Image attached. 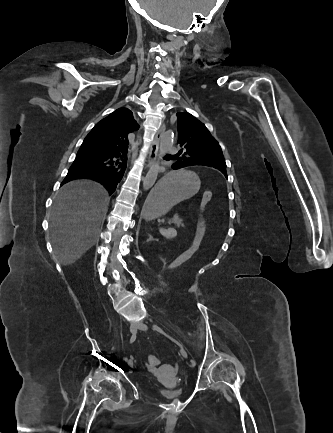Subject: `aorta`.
Returning a JSON list of instances; mask_svg holds the SVG:
<instances>
[{"mask_svg":"<svg viewBox=\"0 0 333 433\" xmlns=\"http://www.w3.org/2000/svg\"><path fill=\"white\" fill-rule=\"evenodd\" d=\"M173 143V137L170 133L166 132L161 135L160 139V147H159V157L158 160L151 166L149 169L144 181H143V189H150L158 176L159 170V161L163 158V156L169 151Z\"/></svg>","mask_w":333,"mask_h":433,"instance_id":"762f6f07","label":"aorta"}]
</instances>
